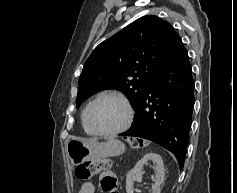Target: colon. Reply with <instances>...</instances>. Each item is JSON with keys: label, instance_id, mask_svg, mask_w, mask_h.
<instances>
[{"label": "colon", "instance_id": "1", "mask_svg": "<svg viewBox=\"0 0 237 193\" xmlns=\"http://www.w3.org/2000/svg\"><path fill=\"white\" fill-rule=\"evenodd\" d=\"M134 144L136 146H141L142 143L140 140H134ZM111 161L109 159H98L95 161L86 162L84 164L79 165L76 168V176L78 179L82 181H88L94 176L96 173L100 171H105L110 169Z\"/></svg>", "mask_w": 237, "mask_h": 193}]
</instances>
